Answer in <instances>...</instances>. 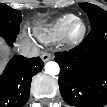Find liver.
<instances>
[{"mask_svg":"<svg viewBox=\"0 0 107 107\" xmlns=\"http://www.w3.org/2000/svg\"><path fill=\"white\" fill-rule=\"evenodd\" d=\"M25 42L32 44V42H31L30 39H26V38H25V39H21V40H19V41L16 43L17 48H18V46H19L20 44L25 43ZM5 51H6V47H5L4 42L2 41V42H1V65H2V67H3L4 64H5V62H4Z\"/></svg>","mask_w":107,"mask_h":107,"instance_id":"6515ba94","label":"liver"}]
</instances>
